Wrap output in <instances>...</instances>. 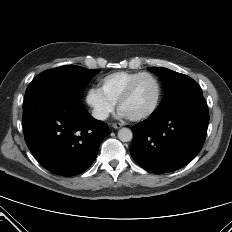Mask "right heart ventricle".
Here are the masks:
<instances>
[{
    "label": "right heart ventricle",
    "instance_id": "1",
    "mask_svg": "<svg viewBox=\"0 0 232 232\" xmlns=\"http://www.w3.org/2000/svg\"><path fill=\"white\" fill-rule=\"evenodd\" d=\"M141 72L118 71L110 73L99 80V90L114 105L126 90L129 83Z\"/></svg>",
    "mask_w": 232,
    "mask_h": 232
}]
</instances>
